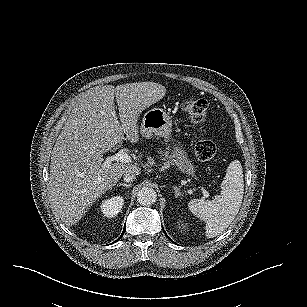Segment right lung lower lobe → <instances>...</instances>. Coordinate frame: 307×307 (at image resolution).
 Instances as JSON below:
<instances>
[{
  "label": "right lung lower lobe",
  "instance_id": "98d812e1",
  "mask_svg": "<svg viewBox=\"0 0 307 307\" xmlns=\"http://www.w3.org/2000/svg\"><path fill=\"white\" fill-rule=\"evenodd\" d=\"M124 232H125V230L123 231V233H122V235L119 237V239L123 236ZM119 239H117L116 241H118Z\"/></svg>",
  "mask_w": 307,
  "mask_h": 307
}]
</instances>
